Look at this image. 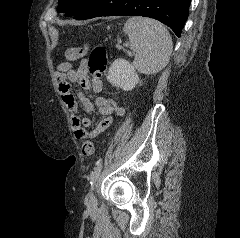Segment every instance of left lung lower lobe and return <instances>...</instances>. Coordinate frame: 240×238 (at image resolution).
Returning <instances> with one entry per match:
<instances>
[{
    "label": "left lung lower lobe",
    "mask_w": 240,
    "mask_h": 238,
    "mask_svg": "<svg viewBox=\"0 0 240 238\" xmlns=\"http://www.w3.org/2000/svg\"><path fill=\"white\" fill-rule=\"evenodd\" d=\"M191 0H91L74 19L101 16H144L169 26L180 37Z\"/></svg>",
    "instance_id": "1"
}]
</instances>
